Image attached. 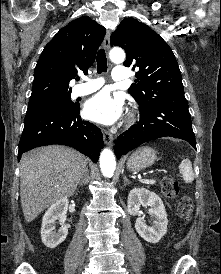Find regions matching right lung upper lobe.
I'll list each match as a JSON object with an SVG mask.
<instances>
[{"label": "right lung upper lobe", "instance_id": "cb5924a9", "mask_svg": "<svg viewBox=\"0 0 221 274\" xmlns=\"http://www.w3.org/2000/svg\"><path fill=\"white\" fill-rule=\"evenodd\" d=\"M106 29L88 16L63 27L45 46L37 62L30 100L71 93L69 81L94 63Z\"/></svg>", "mask_w": 221, "mask_h": 274}]
</instances>
